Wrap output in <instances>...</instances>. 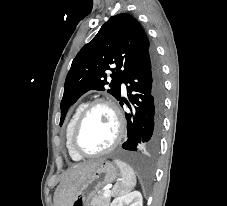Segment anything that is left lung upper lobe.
I'll return each instance as SVG.
<instances>
[{
  "instance_id": "5c2ea615",
  "label": "left lung upper lobe",
  "mask_w": 227,
  "mask_h": 206,
  "mask_svg": "<svg viewBox=\"0 0 227 206\" xmlns=\"http://www.w3.org/2000/svg\"><path fill=\"white\" fill-rule=\"evenodd\" d=\"M140 23L129 14H118L103 24L97 35L78 52L67 74L61 101L60 126L69 107L85 92L105 90L107 73L112 81L108 93L117 100L126 75L151 51ZM115 68L111 69L110 66Z\"/></svg>"
}]
</instances>
